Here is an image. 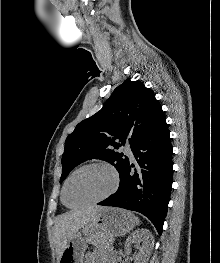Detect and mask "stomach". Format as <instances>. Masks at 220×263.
<instances>
[{
    "label": "stomach",
    "mask_w": 220,
    "mask_h": 263,
    "mask_svg": "<svg viewBox=\"0 0 220 263\" xmlns=\"http://www.w3.org/2000/svg\"><path fill=\"white\" fill-rule=\"evenodd\" d=\"M135 216L124 209L104 207L67 243L59 263H83L88 240L94 236L100 247L108 249L115 236L129 233L135 226ZM98 235L95 236V234Z\"/></svg>",
    "instance_id": "0dacf381"
}]
</instances>
